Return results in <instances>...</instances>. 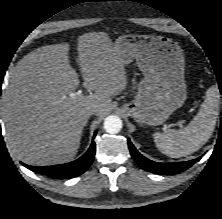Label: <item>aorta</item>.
Listing matches in <instances>:
<instances>
[{"label":"aorta","mask_w":222,"mask_h":219,"mask_svg":"<svg viewBox=\"0 0 222 219\" xmlns=\"http://www.w3.org/2000/svg\"><path fill=\"white\" fill-rule=\"evenodd\" d=\"M104 129L110 134H116L122 129V120L116 115H110L104 120Z\"/></svg>","instance_id":"762f6f07"}]
</instances>
